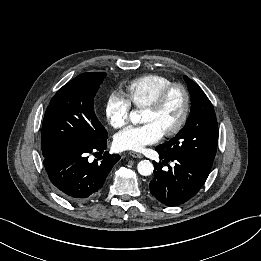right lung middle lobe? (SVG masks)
<instances>
[{
  "label": "right lung middle lobe",
  "mask_w": 261,
  "mask_h": 261,
  "mask_svg": "<svg viewBox=\"0 0 261 261\" xmlns=\"http://www.w3.org/2000/svg\"><path fill=\"white\" fill-rule=\"evenodd\" d=\"M105 73H83L50 101L42 124L41 149L48 157L76 145H91L107 136L94 112V97Z\"/></svg>",
  "instance_id": "right-lung-middle-lobe-1"
}]
</instances>
